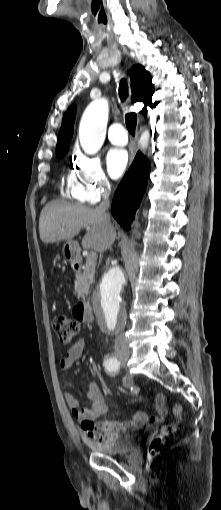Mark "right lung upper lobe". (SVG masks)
I'll return each instance as SVG.
<instances>
[{
    "mask_svg": "<svg viewBox=\"0 0 221 510\" xmlns=\"http://www.w3.org/2000/svg\"><path fill=\"white\" fill-rule=\"evenodd\" d=\"M131 79V90H132V101L143 102L145 105L153 106L152 95L154 93V87L152 85V78L149 72H147L143 66L135 65L130 70ZM157 103H154L156 106ZM144 113L147 112L144 107L142 110ZM76 114V106H71L66 111L60 131L58 133L56 153L69 149V141L73 135L74 119Z\"/></svg>",
    "mask_w": 221,
    "mask_h": 510,
    "instance_id": "cb5924a9",
    "label": "right lung upper lobe"
}]
</instances>
